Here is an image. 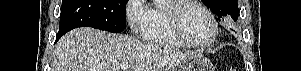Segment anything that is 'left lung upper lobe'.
Instances as JSON below:
<instances>
[{
	"label": "left lung upper lobe",
	"instance_id": "5c2ea615",
	"mask_svg": "<svg viewBox=\"0 0 301 71\" xmlns=\"http://www.w3.org/2000/svg\"><path fill=\"white\" fill-rule=\"evenodd\" d=\"M206 5L217 15L218 19L225 16H231L237 21L239 11L237 0H203Z\"/></svg>",
	"mask_w": 301,
	"mask_h": 71
}]
</instances>
